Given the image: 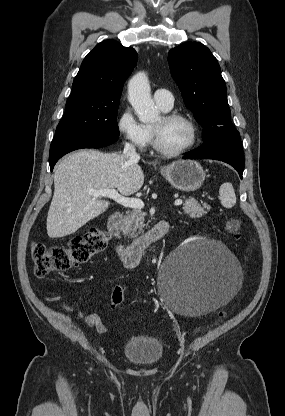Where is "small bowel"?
I'll return each mask as SVG.
<instances>
[{"label": "small bowel", "instance_id": "obj_1", "mask_svg": "<svg viewBox=\"0 0 285 416\" xmlns=\"http://www.w3.org/2000/svg\"><path fill=\"white\" fill-rule=\"evenodd\" d=\"M64 309L68 312L74 313L76 318L83 321L86 327L95 328L100 334L107 332V327L98 314L84 316L80 309L66 305L64 306Z\"/></svg>", "mask_w": 285, "mask_h": 416}]
</instances>
